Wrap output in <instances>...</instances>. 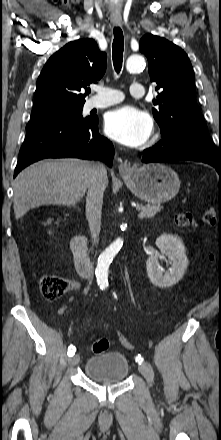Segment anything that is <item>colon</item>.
I'll use <instances>...</instances> for the list:
<instances>
[{
    "mask_svg": "<svg viewBox=\"0 0 221 440\" xmlns=\"http://www.w3.org/2000/svg\"><path fill=\"white\" fill-rule=\"evenodd\" d=\"M204 222L211 224L215 220V213L212 209L207 210L204 213ZM175 223L179 227H193L197 225L195 216L191 212H182L176 215ZM68 290V282L57 275H44L41 279V292L47 299H57L64 295ZM114 338L119 339V342L126 348L131 350L132 344L122 335L120 330H116L113 333ZM110 341L106 338L96 340L92 345V351L95 354H101L109 349Z\"/></svg>",
    "mask_w": 221,
    "mask_h": 440,
    "instance_id": "obj_1",
    "label": "colon"
}]
</instances>
